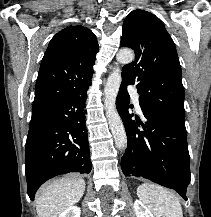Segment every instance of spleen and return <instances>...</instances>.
I'll return each mask as SVG.
<instances>
[{
  "label": "spleen",
  "instance_id": "spleen-1",
  "mask_svg": "<svg viewBox=\"0 0 211 217\" xmlns=\"http://www.w3.org/2000/svg\"><path fill=\"white\" fill-rule=\"evenodd\" d=\"M137 195L156 217H183L178 198L162 186L144 183Z\"/></svg>",
  "mask_w": 211,
  "mask_h": 217
}]
</instances>
